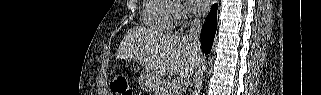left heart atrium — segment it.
Here are the masks:
<instances>
[{
  "mask_svg": "<svg viewBox=\"0 0 321 95\" xmlns=\"http://www.w3.org/2000/svg\"><path fill=\"white\" fill-rule=\"evenodd\" d=\"M190 3L192 4L193 9L198 13L207 10L210 5L209 0H190Z\"/></svg>",
  "mask_w": 321,
  "mask_h": 95,
  "instance_id": "1",
  "label": "left heart atrium"
}]
</instances>
